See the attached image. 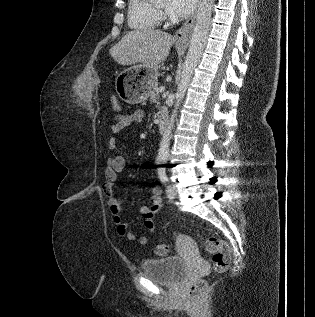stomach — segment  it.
Returning a JSON list of instances; mask_svg holds the SVG:
<instances>
[{
    "instance_id": "0dacf381",
    "label": "stomach",
    "mask_w": 315,
    "mask_h": 317,
    "mask_svg": "<svg viewBox=\"0 0 315 317\" xmlns=\"http://www.w3.org/2000/svg\"><path fill=\"white\" fill-rule=\"evenodd\" d=\"M158 69L136 65L123 70L115 80V88L121 100L128 104L145 101L158 79Z\"/></svg>"
}]
</instances>
